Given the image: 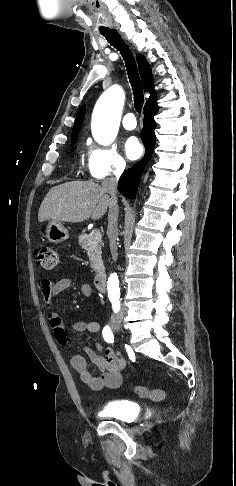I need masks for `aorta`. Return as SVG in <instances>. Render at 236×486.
<instances>
[{"label":"aorta","mask_w":236,"mask_h":486,"mask_svg":"<svg viewBox=\"0 0 236 486\" xmlns=\"http://www.w3.org/2000/svg\"><path fill=\"white\" fill-rule=\"evenodd\" d=\"M125 94L117 85L107 89L97 101L92 115V135L101 145L111 144L118 132L121 110ZM109 296H119V280L116 273H112L107 281Z\"/></svg>","instance_id":"aorta-1"}]
</instances>
